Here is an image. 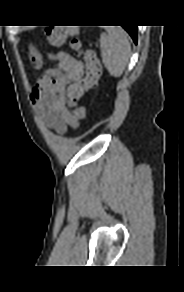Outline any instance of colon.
<instances>
[{"label":"colon","instance_id":"1","mask_svg":"<svg viewBox=\"0 0 184 292\" xmlns=\"http://www.w3.org/2000/svg\"><path fill=\"white\" fill-rule=\"evenodd\" d=\"M46 36L49 45L52 47H60L71 38L72 49L85 62L84 77L71 84L67 90V104L72 109L74 117L85 120L87 118L86 110L84 107L78 106V102L87 91L97 86L100 78L102 69L96 52L82 47L78 25L51 27L46 30Z\"/></svg>","mask_w":184,"mask_h":292}]
</instances>
